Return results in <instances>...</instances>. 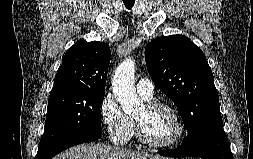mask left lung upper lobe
Returning <instances> with one entry per match:
<instances>
[{
	"instance_id": "1",
	"label": "left lung upper lobe",
	"mask_w": 253,
	"mask_h": 159,
	"mask_svg": "<svg viewBox=\"0 0 253 159\" xmlns=\"http://www.w3.org/2000/svg\"><path fill=\"white\" fill-rule=\"evenodd\" d=\"M145 60L155 85L176 104L187 137L206 136L222 125L212 70L202 50L189 38H157L146 46Z\"/></svg>"
}]
</instances>
